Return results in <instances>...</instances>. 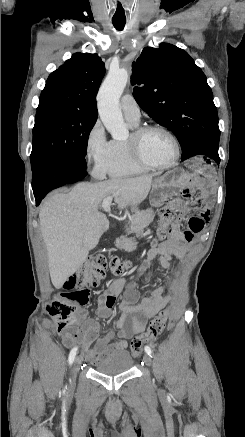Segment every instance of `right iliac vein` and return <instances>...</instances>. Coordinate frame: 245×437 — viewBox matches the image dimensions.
I'll use <instances>...</instances> for the list:
<instances>
[{
    "label": "right iliac vein",
    "instance_id": "63e3f726",
    "mask_svg": "<svg viewBox=\"0 0 245 437\" xmlns=\"http://www.w3.org/2000/svg\"><path fill=\"white\" fill-rule=\"evenodd\" d=\"M80 363H81L80 358L77 357V358L74 360L73 367H72V383H73V384H74V382H75V379H76L77 373H78V371H79Z\"/></svg>",
    "mask_w": 245,
    "mask_h": 437
}]
</instances>
